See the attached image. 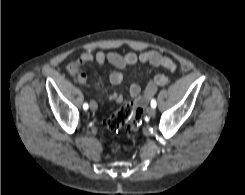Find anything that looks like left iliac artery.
Wrapping results in <instances>:
<instances>
[{
    "label": "left iliac artery",
    "mask_w": 245,
    "mask_h": 195,
    "mask_svg": "<svg viewBox=\"0 0 245 195\" xmlns=\"http://www.w3.org/2000/svg\"><path fill=\"white\" fill-rule=\"evenodd\" d=\"M156 105H157L156 100L155 99H152L151 100V107L155 108Z\"/></svg>",
    "instance_id": "44dca946"
}]
</instances>
